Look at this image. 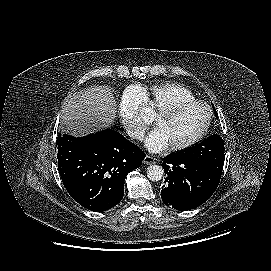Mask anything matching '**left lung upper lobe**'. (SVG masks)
<instances>
[{
	"mask_svg": "<svg viewBox=\"0 0 271 271\" xmlns=\"http://www.w3.org/2000/svg\"><path fill=\"white\" fill-rule=\"evenodd\" d=\"M215 116L218 117L215 107L213 106ZM224 141L218 135H212L202 142L188 149L175 153L177 156L185 159H192L206 167L222 174L224 164Z\"/></svg>",
	"mask_w": 271,
	"mask_h": 271,
	"instance_id": "left-lung-upper-lobe-1",
	"label": "left lung upper lobe"
}]
</instances>
